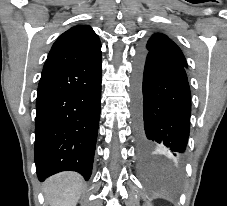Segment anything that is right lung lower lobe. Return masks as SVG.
Listing matches in <instances>:
<instances>
[{"instance_id": "98d812e1", "label": "right lung lower lobe", "mask_w": 227, "mask_h": 206, "mask_svg": "<svg viewBox=\"0 0 227 206\" xmlns=\"http://www.w3.org/2000/svg\"><path fill=\"white\" fill-rule=\"evenodd\" d=\"M101 58L41 76L36 99L39 181L66 170L91 176L101 105Z\"/></svg>"}]
</instances>
